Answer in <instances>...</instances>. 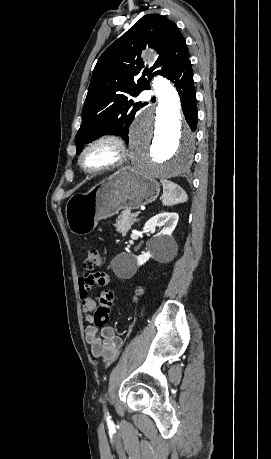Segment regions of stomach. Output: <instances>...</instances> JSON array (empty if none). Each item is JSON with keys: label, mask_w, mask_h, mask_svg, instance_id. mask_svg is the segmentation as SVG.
Returning <instances> with one entry per match:
<instances>
[{"label": "stomach", "mask_w": 271, "mask_h": 459, "mask_svg": "<svg viewBox=\"0 0 271 459\" xmlns=\"http://www.w3.org/2000/svg\"><path fill=\"white\" fill-rule=\"evenodd\" d=\"M158 182L124 166L105 178L88 194H74L67 202L65 216L72 233L85 235L96 228L99 220L118 214L119 210H136L155 202Z\"/></svg>", "instance_id": "1"}]
</instances>
